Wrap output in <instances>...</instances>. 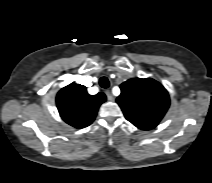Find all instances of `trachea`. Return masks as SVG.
<instances>
[{
    "label": "trachea",
    "mask_w": 212,
    "mask_h": 183,
    "mask_svg": "<svg viewBox=\"0 0 212 183\" xmlns=\"http://www.w3.org/2000/svg\"><path fill=\"white\" fill-rule=\"evenodd\" d=\"M99 84L102 88H108L110 86V83L107 77H101L99 79Z\"/></svg>",
    "instance_id": "1"
}]
</instances>
